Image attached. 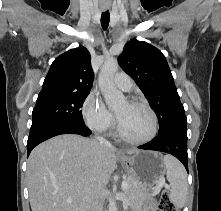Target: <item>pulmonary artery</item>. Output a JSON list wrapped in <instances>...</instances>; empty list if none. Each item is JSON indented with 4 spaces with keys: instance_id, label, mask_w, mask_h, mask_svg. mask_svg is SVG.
<instances>
[{
    "instance_id": "1",
    "label": "pulmonary artery",
    "mask_w": 221,
    "mask_h": 211,
    "mask_svg": "<svg viewBox=\"0 0 221 211\" xmlns=\"http://www.w3.org/2000/svg\"><path fill=\"white\" fill-rule=\"evenodd\" d=\"M114 84L119 89L127 92L131 90L133 86V81L128 74L124 72H118L114 77Z\"/></svg>"
}]
</instances>
